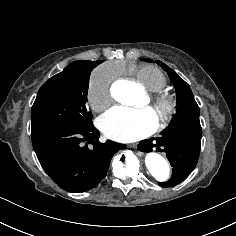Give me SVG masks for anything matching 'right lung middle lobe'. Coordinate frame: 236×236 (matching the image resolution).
I'll use <instances>...</instances> for the list:
<instances>
[{"instance_id": "obj_1", "label": "right lung middle lobe", "mask_w": 236, "mask_h": 236, "mask_svg": "<svg viewBox=\"0 0 236 236\" xmlns=\"http://www.w3.org/2000/svg\"><path fill=\"white\" fill-rule=\"evenodd\" d=\"M95 67L70 63L45 82L32 106V131L57 125L80 127L91 122L86 102L90 73Z\"/></svg>"}]
</instances>
